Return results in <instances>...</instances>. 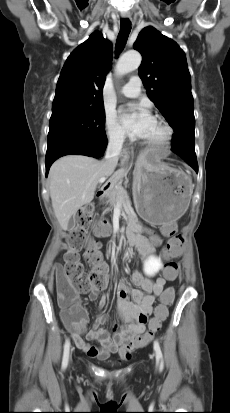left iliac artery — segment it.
<instances>
[{
    "instance_id": "left-iliac-artery-1",
    "label": "left iliac artery",
    "mask_w": 230,
    "mask_h": 413,
    "mask_svg": "<svg viewBox=\"0 0 230 413\" xmlns=\"http://www.w3.org/2000/svg\"><path fill=\"white\" fill-rule=\"evenodd\" d=\"M154 350L156 352V360L159 362V368L161 370L163 368V355L157 340L154 341Z\"/></svg>"
}]
</instances>
